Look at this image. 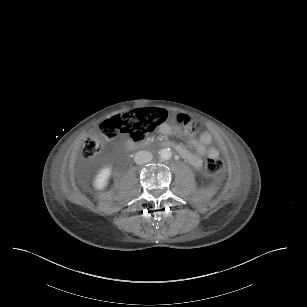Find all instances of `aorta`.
I'll return each mask as SVG.
<instances>
[{
  "mask_svg": "<svg viewBox=\"0 0 307 307\" xmlns=\"http://www.w3.org/2000/svg\"><path fill=\"white\" fill-rule=\"evenodd\" d=\"M160 157L163 160H170L172 158V151L170 149H162L160 151Z\"/></svg>",
  "mask_w": 307,
  "mask_h": 307,
  "instance_id": "762f6f07",
  "label": "aorta"
}]
</instances>
